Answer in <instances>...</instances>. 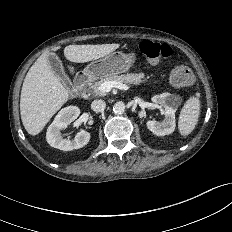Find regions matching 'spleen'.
Masks as SVG:
<instances>
[{"mask_svg":"<svg viewBox=\"0 0 232 232\" xmlns=\"http://www.w3.org/2000/svg\"><path fill=\"white\" fill-rule=\"evenodd\" d=\"M200 113V102L197 97H191L181 110L179 117V131L181 135L190 134L195 128Z\"/></svg>","mask_w":232,"mask_h":232,"instance_id":"spleen-1","label":"spleen"}]
</instances>
